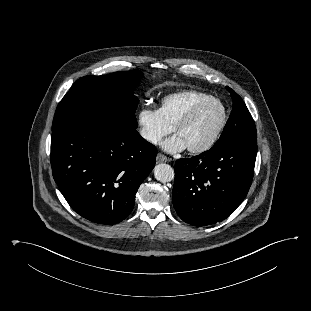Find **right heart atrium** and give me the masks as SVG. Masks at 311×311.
I'll use <instances>...</instances> for the list:
<instances>
[{
  "instance_id": "1",
  "label": "right heart atrium",
  "mask_w": 311,
  "mask_h": 311,
  "mask_svg": "<svg viewBox=\"0 0 311 311\" xmlns=\"http://www.w3.org/2000/svg\"><path fill=\"white\" fill-rule=\"evenodd\" d=\"M138 126L141 137L152 145L158 144L163 137L173 131L159 110L144 108L138 114Z\"/></svg>"
}]
</instances>
